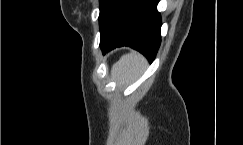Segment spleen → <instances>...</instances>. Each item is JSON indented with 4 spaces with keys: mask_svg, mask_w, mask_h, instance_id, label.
I'll return each mask as SVG.
<instances>
[{
    "mask_svg": "<svg viewBox=\"0 0 243 145\" xmlns=\"http://www.w3.org/2000/svg\"><path fill=\"white\" fill-rule=\"evenodd\" d=\"M147 66L146 59L137 52L123 55L111 69V77L118 85L129 84L136 80Z\"/></svg>",
    "mask_w": 243,
    "mask_h": 145,
    "instance_id": "spleen-1",
    "label": "spleen"
}]
</instances>
